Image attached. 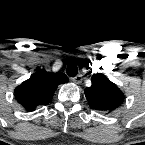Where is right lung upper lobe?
Returning <instances> with one entry per match:
<instances>
[{
	"label": "right lung upper lobe",
	"instance_id": "cb5924a9",
	"mask_svg": "<svg viewBox=\"0 0 145 145\" xmlns=\"http://www.w3.org/2000/svg\"><path fill=\"white\" fill-rule=\"evenodd\" d=\"M67 82L64 73L40 70L15 88V97L27 111H33L38 106L49 104L57 86Z\"/></svg>",
	"mask_w": 145,
	"mask_h": 145
}]
</instances>
